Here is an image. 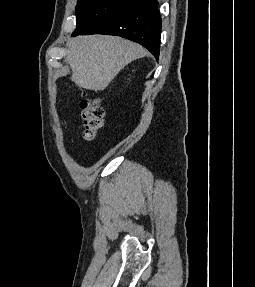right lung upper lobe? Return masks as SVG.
Segmentation results:
<instances>
[{"instance_id": "obj_1", "label": "right lung upper lobe", "mask_w": 255, "mask_h": 287, "mask_svg": "<svg viewBox=\"0 0 255 287\" xmlns=\"http://www.w3.org/2000/svg\"><path fill=\"white\" fill-rule=\"evenodd\" d=\"M137 0H131V3H134V2H136Z\"/></svg>"}]
</instances>
